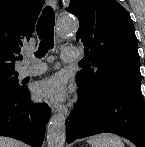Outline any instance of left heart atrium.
Wrapping results in <instances>:
<instances>
[{
	"mask_svg": "<svg viewBox=\"0 0 145 147\" xmlns=\"http://www.w3.org/2000/svg\"><path fill=\"white\" fill-rule=\"evenodd\" d=\"M67 91L65 81L60 76H53L38 82L33 93L38 100L58 102L66 97Z\"/></svg>",
	"mask_w": 145,
	"mask_h": 147,
	"instance_id": "left-heart-atrium-1",
	"label": "left heart atrium"
}]
</instances>
